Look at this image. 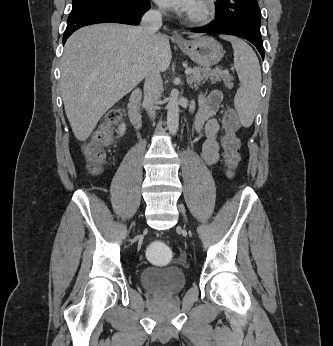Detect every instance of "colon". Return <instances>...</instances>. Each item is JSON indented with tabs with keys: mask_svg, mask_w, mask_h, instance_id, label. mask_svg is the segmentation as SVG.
I'll return each instance as SVG.
<instances>
[{
	"mask_svg": "<svg viewBox=\"0 0 333 346\" xmlns=\"http://www.w3.org/2000/svg\"><path fill=\"white\" fill-rule=\"evenodd\" d=\"M121 114V109L111 110L106 116V122L94 133L91 141L84 146V157L91 173L100 172L106 159V150L112 143V127L120 119ZM223 123V161L229 174L233 175L240 161L239 140L236 135L239 127L237 113L233 109L227 110ZM145 250L147 251L145 260H150L153 268H169V264L174 259V254L168 249L164 240H151L150 244L145 245Z\"/></svg>",
	"mask_w": 333,
	"mask_h": 346,
	"instance_id": "5ec220e1",
	"label": "colon"
}]
</instances>
